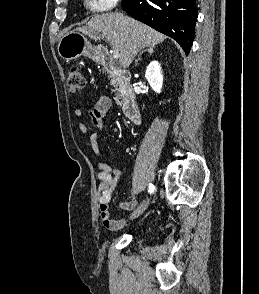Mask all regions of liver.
Returning a JSON list of instances; mask_svg holds the SVG:
<instances>
[{
	"mask_svg": "<svg viewBox=\"0 0 259 294\" xmlns=\"http://www.w3.org/2000/svg\"><path fill=\"white\" fill-rule=\"evenodd\" d=\"M77 30L94 39L98 36L107 39L119 52L123 68L131 65L138 51L155 46L166 38L155 29L120 13L96 15Z\"/></svg>",
	"mask_w": 259,
	"mask_h": 294,
	"instance_id": "liver-1",
	"label": "liver"
}]
</instances>
